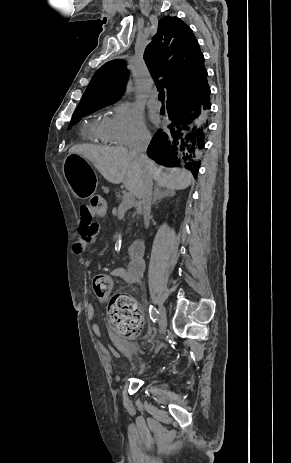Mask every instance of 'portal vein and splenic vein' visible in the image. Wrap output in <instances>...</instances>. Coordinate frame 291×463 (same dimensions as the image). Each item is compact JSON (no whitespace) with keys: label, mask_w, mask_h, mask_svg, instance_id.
I'll use <instances>...</instances> for the list:
<instances>
[{"label":"portal vein and splenic vein","mask_w":291,"mask_h":463,"mask_svg":"<svg viewBox=\"0 0 291 463\" xmlns=\"http://www.w3.org/2000/svg\"><path fill=\"white\" fill-rule=\"evenodd\" d=\"M133 204H134V196H133V194L130 191L126 192L123 195V199H122V202L120 204V207L128 209V208H131L133 206Z\"/></svg>","instance_id":"portal-vein-and-splenic-vein-1"}]
</instances>
